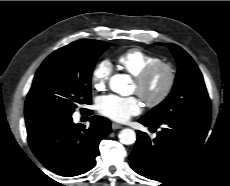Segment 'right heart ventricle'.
<instances>
[{
	"instance_id": "obj_1",
	"label": "right heart ventricle",
	"mask_w": 230,
	"mask_h": 186,
	"mask_svg": "<svg viewBox=\"0 0 230 186\" xmlns=\"http://www.w3.org/2000/svg\"><path fill=\"white\" fill-rule=\"evenodd\" d=\"M116 61L122 69L135 77L148 66L159 62L160 57L141 48H130L122 52Z\"/></svg>"
}]
</instances>
